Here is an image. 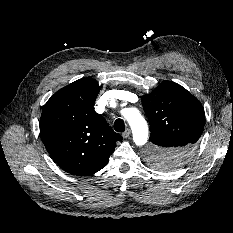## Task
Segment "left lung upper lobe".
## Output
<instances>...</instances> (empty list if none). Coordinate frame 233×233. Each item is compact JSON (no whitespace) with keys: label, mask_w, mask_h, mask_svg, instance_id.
I'll return each instance as SVG.
<instances>
[{"label":"left lung upper lobe","mask_w":233,"mask_h":233,"mask_svg":"<svg viewBox=\"0 0 233 233\" xmlns=\"http://www.w3.org/2000/svg\"><path fill=\"white\" fill-rule=\"evenodd\" d=\"M142 105L152 142L146 151L147 162L161 170L179 168L191 157L203 132L201 103L179 84L164 81L151 94L142 96ZM161 140H177L180 144L169 149Z\"/></svg>","instance_id":"left-lung-upper-lobe-1"}]
</instances>
